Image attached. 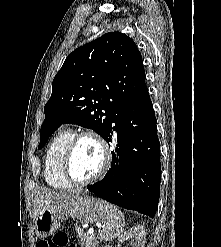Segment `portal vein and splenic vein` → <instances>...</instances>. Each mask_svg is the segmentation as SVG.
<instances>
[{"mask_svg": "<svg viewBox=\"0 0 221 247\" xmlns=\"http://www.w3.org/2000/svg\"><path fill=\"white\" fill-rule=\"evenodd\" d=\"M87 233L90 234V235H92V234H93V229H89V230L87 231Z\"/></svg>", "mask_w": 221, "mask_h": 247, "instance_id": "18ae733b", "label": "portal vein and splenic vein"}]
</instances>
